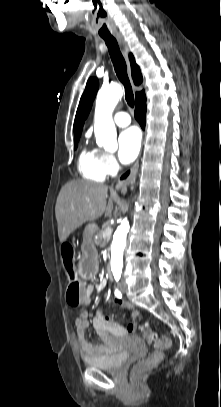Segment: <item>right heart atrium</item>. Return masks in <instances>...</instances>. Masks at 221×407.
<instances>
[{
    "label": "right heart atrium",
    "mask_w": 221,
    "mask_h": 407,
    "mask_svg": "<svg viewBox=\"0 0 221 407\" xmlns=\"http://www.w3.org/2000/svg\"><path fill=\"white\" fill-rule=\"evenodd\" d=\"M101 166L106 175H113L118 170V162L116 158L107 152H101Z\"/></svg>",
    "instance_id": "1"
}]
</instances>
